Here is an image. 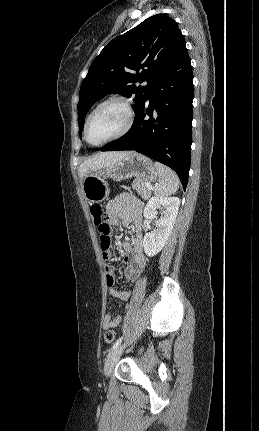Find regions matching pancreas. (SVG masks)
<instances>
[{
    "mask_svg": "<svg viewBox=\"0 0 259 431\" xmlns=\"http://www.w3.org/2000/svg\"><path fill=\"white\" fill-rule=\"evenodd\" d=\"M132 188L145 200L151 196V190L147 188L146 182L140 179L133 181Z\"/></svg>",
    "mask_w": 259,
    "mask_h": 431,
    "instance_id": "1",
    "label": "pancreas"
}]
</instances>
